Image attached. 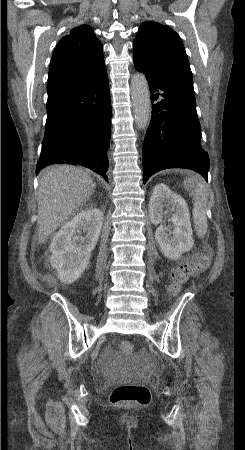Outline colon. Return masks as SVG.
Segmentation results:
<instances>
[{
  "label": "colon",
  "mask_w": 245,
  "mask_h": 450,
  "mask_svg": "<svg viewBox=\"0 0 245 450\" xmlns=\"http://www.w3.org/2000/svg\"><path fill=\"white\" fill-rule=\"evenodd\" d=\"M210 257L211 249L203 247L190 261L176 266L171 272L170 293L177 295L180 292L181 285L189 277L205 270L210 263ZM119 350L125 355H131L133 346L130 342L122 341L119 343ZM150 397V391L144 385L122 384L114 388L110 395V401L116 404L144 405L150 401Z\"/></svg>",
  "instance_id": "obj_1"
}]
</instances>
